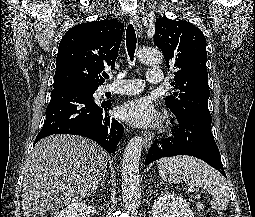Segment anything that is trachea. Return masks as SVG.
Returning <instances> with one entry per match:
<instances>
[{
  "mask_svg": "<svg viewBox=\"0 0 255 217\" xmlns=\"http://www.w3.org/2000/svg\"><path fill=\"white\" fill-rule=\"evenodd\" d=\"M136 34H135V29L132 24H129L126 30V46L128 50V54L130 57V60H133L135 49H136ZM108 75H104V78H108Z\"/></svg>",
  "mask_w": 255,
  "mask_h": 217,
  "instance_id": "trachea-1",
  "label": "trachea"
}]
</instances>
